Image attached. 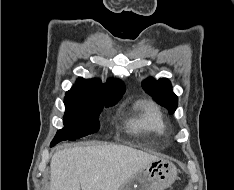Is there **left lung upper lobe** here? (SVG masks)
Masks as SVG:
<instances>
[{
    "instance_id": "left-lung-upper-lobe-1",
    "label": "left lung upper lobe",
    "mask_w": 234,
    "mask_h": 190,
    "mask_svg": "<svg viewBox=\"0 0 234 190\" xmlns=\"http://www.w3.org/2000/svg\"><path fill=\"white\" fill-rule=\"evenodd\" d=\"M143 89L153 97L160 105L166 107L170 113H173L178 105V98L172 91L171 82L166 78L158 81L152 78L142 82Z\"/></svg>"
}]
</instances>
